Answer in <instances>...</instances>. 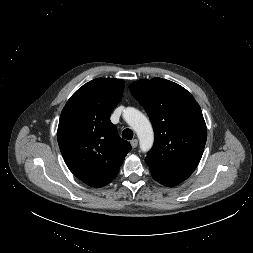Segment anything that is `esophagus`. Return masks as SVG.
<instances>
[{
	"mask_svg": "<svg viewBox=\"0 0 253 253\" xmlns=\"http://www.w3.org/2000/svg\"><path fill=\"white\" fill-rule=\"evenodd\" d=\"M130 144H131L132 148L134 149L138 145V140L137 139H133V140H131Z\"/></svg>",
	"mask_w": 253,
	"mask_h": 253,
	"instance_id": "obj_1",
	"label": "esophagus"
}]
</instances>
